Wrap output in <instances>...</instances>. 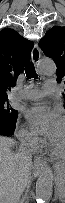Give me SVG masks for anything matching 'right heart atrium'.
Wrapping results in <instances>:
<instances>
[{"instance_id": "1", "label": "right heart atrium", "mask_w": 65, "mask_h": 203, "mask_svg": "<svg viewBox=\"0 0 65 203\" xmlns=\"http://www.w3.org/2000/svg\"><path fill=\"white\" fill-rule=\"evenodd\" d=\"M18 138L27 149H34L41 143L39 137L25 125L18 131Z\"/></svg>"}]
</instances>
